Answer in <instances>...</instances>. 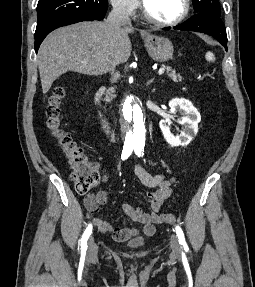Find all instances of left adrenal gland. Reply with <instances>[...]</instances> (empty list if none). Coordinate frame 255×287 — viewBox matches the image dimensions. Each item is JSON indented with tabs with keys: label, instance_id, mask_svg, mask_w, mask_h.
I'll return each mask as SVG.
<instances>
[{
	"label": "left adrenal gland",
	"instance_id": "obj_1",
	"mask_svg": "<svg viewBox=\"0 0 255 287\" xmlns=\"http://www.w3.org/2000/svg\"><path fill=\"white\" fill-rule=\"evenodd\" d=\"M151 82H153V80H149V82H147V84H151Z\"/></svg>",
	"mask_w": 255,
	"mask_h": 287
}]
</instances>
